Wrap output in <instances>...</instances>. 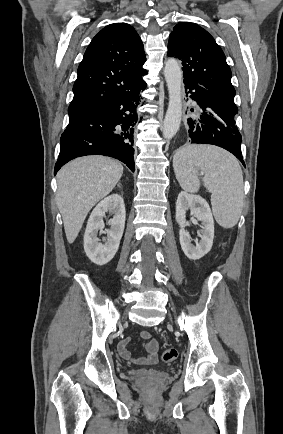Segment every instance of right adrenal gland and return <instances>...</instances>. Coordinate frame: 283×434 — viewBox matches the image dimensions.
Returning a JSON list of instances; mask_svg holds the SVG:
<instances>
[{
    "instance_id": "2a0ac1e0",
    "label": "right adrenal gland",
    "mask_w": 283,
    "mask_h": 434,
    "mask_svg": "<svg viewBox=\"0 0 283 434\" xmlns=\"http://www.w3.org/2000/svg\"><path fill=\"white\" fill-rule=\"evenodd\" d=\"M118 187H119V188H121V185H120V184H118Z\"/></svg>"
}]
</instances>
